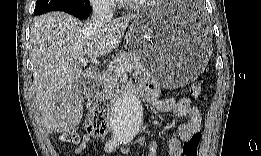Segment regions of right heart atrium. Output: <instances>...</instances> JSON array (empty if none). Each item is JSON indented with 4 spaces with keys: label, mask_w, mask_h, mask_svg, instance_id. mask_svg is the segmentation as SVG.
Listing matches in <instances>:
<instances>
[{
    "label": "right heart atrium",
    "mask_w": 261,
    "mask_h": 156,
    "mask_svg": "<svg viewBox=\"0 0 261 156\" xmlns=\"http://www.w3.org/2000/svg\"><path fill=\"white\" fill-rule=\"evenodd\" d=\"M96 6L110 9L114 6V2L111 0L101 1V2L96 3Z\"/></svg>",
    "instance_id": "d8ad5b80"
}]
</instances>
